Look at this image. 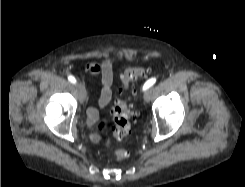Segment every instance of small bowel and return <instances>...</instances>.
Segmentation results:
<instances>
[{
	"instance_id": "small-bowel-1",
	"label": "small bowel",
	"mask_w": 245,
	"mask_h": 187,
	"mask_svg": "<svg viewBox=\"0 0 245 187\" xmlns=\"http://www.w3.org/2000/svg\"><path fill=\"white\" fill-rule=\"evenodd\" d=\"M85 71L88 75L100 76L101 88L97 99L99 107L103 108L107 106L112 98V84L114 77V61L107 59L101 63L90 62L86 65ZM88 119L90 123H93L98 118V110L91 107L87 111ZM92 140L98 142L99 138L96 135H92Z\"/></svg>"
}]
</instances>
